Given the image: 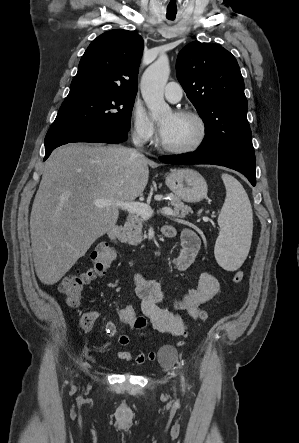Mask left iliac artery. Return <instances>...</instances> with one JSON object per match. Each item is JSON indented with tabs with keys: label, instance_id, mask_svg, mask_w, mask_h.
<instances>
[{
	"label": "left iliac artery",
	"instance_id": "left-iliac-artery-1",
	"mask_svg": "<svg viewBox=\"0 0 299 443\" xmlns=\"http://www.w3.org/2000/svg\"><path fill=\"white\" fill-rule=\"evenodd\" d=\"M181 380H182V386H184V377L183 376H181Z\"/></svg>",
	"mask_w": 299,
	"mask_h": 443
}]
</instances>
